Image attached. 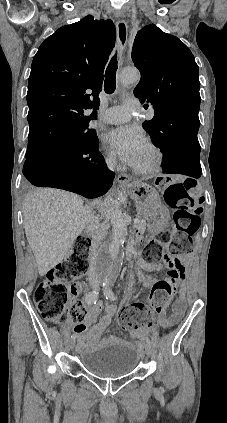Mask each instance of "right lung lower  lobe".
Listing matches in <instances>:
<instances>
[{
	"mask_svg": "<svg viewBox=\"0 0 227 423\" xmlns=\"http://www.w3.org/2000/svg\"><path fill=\"white\" fill-rule=\"evenodd\" d=\"M65 148L47 149L26 159L24 176L37 187L64 189L87 198L105 194L115 175L106 168L98 143L76 152Z\"/></svg>",
	"mask_w": 227,
	"mask_h": 423,
	"instance_id": "1",
	"label": "right lung lower lobe"
}]
</instances>
